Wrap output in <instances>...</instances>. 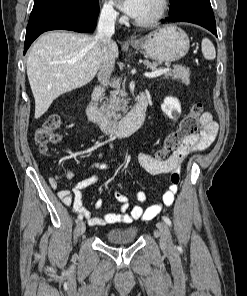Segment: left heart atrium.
Segmentation results:
<instances>
[{
  "label": "left heart atrium",
  "mask_w": 247,
  "mask_h": 296,
  "mask_svg": "<svg viewBox=\"0 0 247 296\" xmlns=\"http://www.w3.org/2000/svg\"><path fill=\"white\" fill-rule=\"evenodd\" d=\"M122 11L130 17L137 18L143 11L147 0H117Z\"/></svg>",
  "instance_id": "39dd6f15"
}]
</instances>
